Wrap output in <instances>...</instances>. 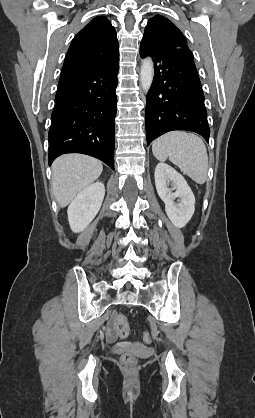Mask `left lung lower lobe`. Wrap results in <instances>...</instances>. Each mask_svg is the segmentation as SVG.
Here are the masks:
<instances>
[{
  "instance_id": "1",
  "label": "left lung lower lobe",
  "mask_w": 255,
  "mask_h": 418,
  "mask_svg": "<svg viewBox=\"0 0 255 418\" xmlns=\"http://www.w3.org/2000/svg\"><path fill=\"white\" fill-rule=\"evenodd\" d=\"M140 55L151 57L155 70L145 110L147 145L173 130L193 131L208 141L204 93L192 52L154 53L140 46Z\"/></svg>"
}]
</instances>
